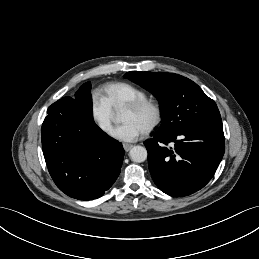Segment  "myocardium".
<instances>
[{"instance_id": "1", "label": "myocardium", "mask_w": 259, "mask_h": 259, "mask_svg": "<svg viewBox=\"0 0 259 259\" xmlns=\"http://www.w3.org/2000/svg\"><path fill=\"white\" fill-rule=\"evenodd\" d=\"M145 108H149L153 111L152 122L144 130H142V133L144 135H148L155 131L160 126L163 120V108L158 101L150 98L135 100L123 106L122 110L138 112Z\"/></svg>"}]
</instances>
